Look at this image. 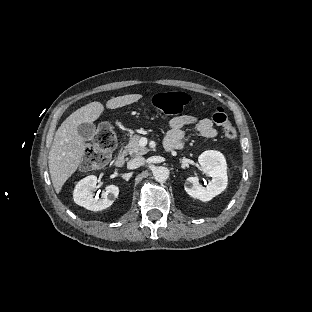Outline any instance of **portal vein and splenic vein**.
I'll list each match as a JSON object with an SVG mask.
<instances>
[{
    "label": "portal vein and splenic vein",
    "instance_id": "1",
    "mask_svg": "<svg viewBox=\"0 0 312 312\" xmlns=\"http://www.w3.org/2000/svg\"><path fill=\"white\" fill-rule=\"evenodd\" d=\"M139 144H140L141 146H146V144H147V139H146V138H141L140 141H139Z\"/></svg>",
    "mask_w": 312,
    "mask_h": 312
}]
</instances>
